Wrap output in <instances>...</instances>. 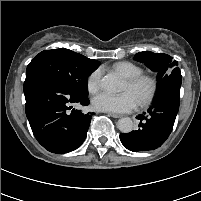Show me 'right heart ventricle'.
I'll return each instance as SVG.
<instances>
[{
    "instance_id": "right-heart-ventricle-1",
    "label": "right heart ventricle",
    "mask_w": 201,
    "mask_h": 201,
    "mask_svg": "<svg viewBox=\"0 0 201 201\" xmlns=\"http://www.w3.org/2000/svg\"><path fill=\"white\" fill-rule=\"evenodd\" d=\"M112 68L126 79L142 74L143 72L140 66L128 61L115 63Z\"/></svg>"
}]
</instances>
